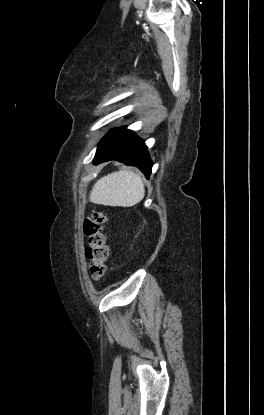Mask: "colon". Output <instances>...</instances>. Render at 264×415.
<instances>
[{"label":"colon","instance_id":"colon-1","mask_svg":"<svg viewBox=\"0 0 264 415\" xmlns=\"http://www.w3.org/2000/svg\"><path fill=\"white\" fill-rule=\"evenodd\" d=\"M108 214L104 210H92L85 217L82 231L87 239L85 257L88 271L93 280H100L106 271L109 249L104 233Z\"/></svg>","mask_w":264,"mask_h":415}]
</instances>
